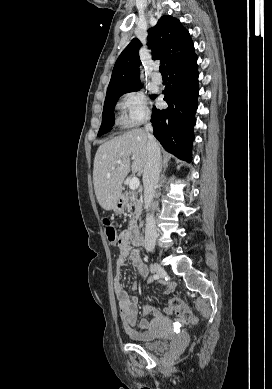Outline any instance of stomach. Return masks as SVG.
Returning <instances> with one entry per match:
<instances>
[{"mask_svg":"<svg viewBox=\"0 0 272 389\" xmlns=\"http://www.w3.org/2000/svg\"><path fill=\"white\" fill-rule=\"evenodd\" d=\"M125 205V199L121 196L113 208L114 212L116 214H121L124 211Z\"/></svg>","mask_w":272,"mask_h":389,"instance_id":"stomach-1","label":"stomach"}]
</instances>
